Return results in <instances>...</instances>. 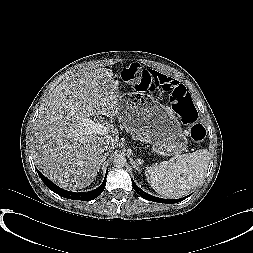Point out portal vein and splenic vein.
<instances>
[{
  "mask_svg": "<svg viewBox=\"0 0 253 253\" xmlns=\"http://www.w3.org/2000/svg\"><path fill=\"white\" fill-rule=\"evenodd\" d=\"M82 124L85 126V131L88 134H100L105 135L109 132V127L102 124V123H96L90 118H83Z\"/></svg>",
  "mask_w": 253,
  "mask_h": 253,
  "instance_id": "obj_1",
  "label": "portal vein and splenic vein"
}]
</instances>
